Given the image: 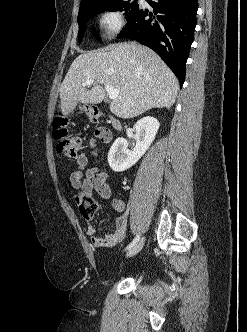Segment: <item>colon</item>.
<instances>
[{"label":"colon","instance_id":"1","mask_svg":"<svg viewBox=\"0 0 247 332\" xmlns=\"http://www.w3.org/2000/svg\"><path fill=\"white\" fill-rule=\"evenodd\" d=\"M83 110L93 123L98 122L101 117L100 110L95 106H85ZM67 125L68 120L63 116L57 117L54 120V138L57 141L56 149L59 155L74 159L77 157L79 150L81 149L82 141L78 136L69 134ZM76 201L79 206V211L84 218L90 219L94 216L98 209L95 200L90 197L85 199L77 197Z\"/></svg>","mask_w":247,"mask_h":332}]
</instances>
